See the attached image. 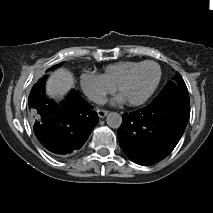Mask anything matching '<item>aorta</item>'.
I'll return each mask as SVG.
<instances>
[{"instance_id":"1","label":"aorta","mask_w":213,"mask_h":213,"mask_svg":"<svg viewBox=\"0 0 213 213\" xmlns=\"http://www.w3.org/2000/svg\"><path fill=\"white\" fill-rule=\"evenodd\" d=\"M106 123L110 128L118 129L122 124V116L117 112H110L106 117Z\"/></svg>"}]
</instances>
